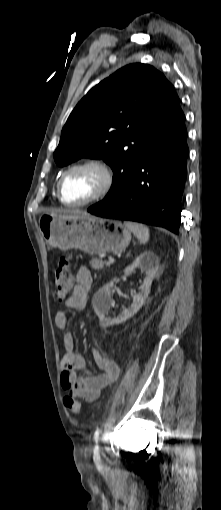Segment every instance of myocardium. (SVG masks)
<instances>
[{
  "instance_id": "myocardium-1",
  "label": "myocardium",
  "mask_w": 221,
  "mask_h": 510,
  "mask_svg": "<svg viewBox=\"0 0 221 510\" xmlns=\"http://www.w3.org/2000/svg\"><path fill=\"white\" fill-rule=\"evenodd\" d=\"M85 169H90V170L97 172V174L99 176V184H98L96 191L90 197H88L87 199H85L81 202H76V203L66 202L62 197L63 181L73 171L85 170ZM113 182H114V173L107 162H105L104 160L99 159V158L84 159V160H81L79 162L72 164L62 173V175L60 176V178L57 182V197H58L59 201L67 207L88 206V205L93 204V203L101 200L102 198H104L111 190V188L113 186Z\"/></svg>"
}]
</instances>
